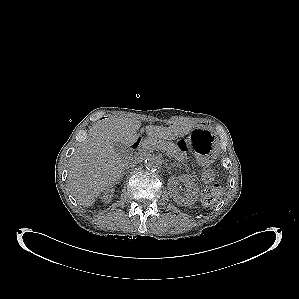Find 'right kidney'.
Wrapping results in <instances>:
<instances>
[{"label": "right kidney", "mask_w": 299, "mask_h": 299, "mask_svg": "<svg viewBox=\"0 0 299 299\" xmlns=\"http://www.w3.org/2000/svg\"><path fill=\"white\" fill-rule=\"evenodd\" d=\"M113 197V190H110V189H107L106 191H104L103 193V196L101 197V199L104 201V202H110V200L112 199Z\"/></svg>", "instance_id": "1"}]
</instances>
